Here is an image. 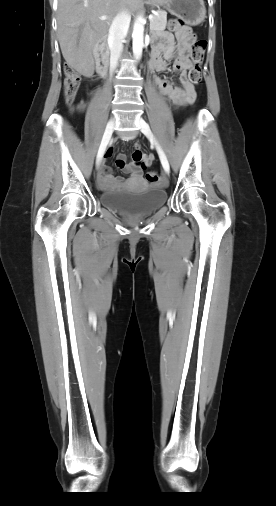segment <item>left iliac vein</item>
Listing matches in <instances>:
<instances>
[{"instance_id":"obj_1","label":"left iliac vein","mask_w":276,"mask_h":506,"mask_svg":"<svg viewBox=\"0 0 276 506\" xmlns=\"http://www.w3.org/2000/svg\"><path fill=\"white\" fill-rule=\"evenodd\" d=\"M137 122H138V126H139L140 130L142 131V133L145 134L156 145L157 151H158L160 159H161L162 166H163L165 172L169 173L170 166H169L168 160H167L162 148L158 144L156 138L152 134L149 125L141 117L138 118Z\"/></svg>"}]
</instances>
